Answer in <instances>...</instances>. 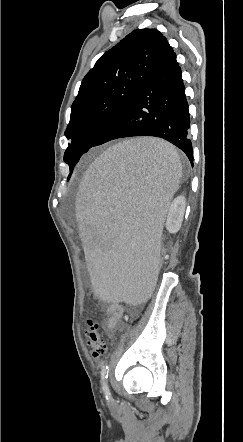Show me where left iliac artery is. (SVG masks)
Listing matches in <instances>:
<instances>
[{
	"label": "left iliac artery",
	"mask_w": 243,
	"mask_h": 442,
	"mask_svg": "<svg viewBox=\"0 0 243 442\" xmlns=\"http://www.w3.org/2000/svg\"><path fill=\"white\" fill-rule=\"evenodd\" d=\"M108 371H109L108 365H105V366L102 367V370H101V384H102V389H103L107 399L110 398V391H109V388H108V385H107V382H106V380L108 378Z\"/></svg>",
	"instance_id": "obj_1"
}]
</instances>
